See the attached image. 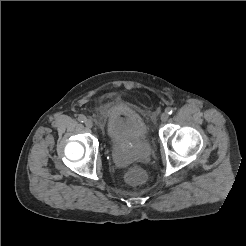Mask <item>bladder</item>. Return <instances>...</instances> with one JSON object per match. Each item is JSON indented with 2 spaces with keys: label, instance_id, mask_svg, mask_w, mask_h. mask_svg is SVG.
I'll list each match as a JSON object with an SVG mask.
<instances>
[{
  "label": "bladder",
  "instance_id": "obj_1",
  "mask_svg": "<svg viewBox=\"0 0 246 246\" xmlns=\"http://www.w3.org/2000/svg\"><path fill=\"white\" fill-rule=\"evenodd\" d=\"M105 108L106 133L110 141H143L148 136V126L142 115L122 101L110 100ZM120 167L143 163L150 158V150L123 152L114 150L111 155Z\"/></svg>",
  "mask_w": 246,
  "mask_h": 246
}]
</instances>
